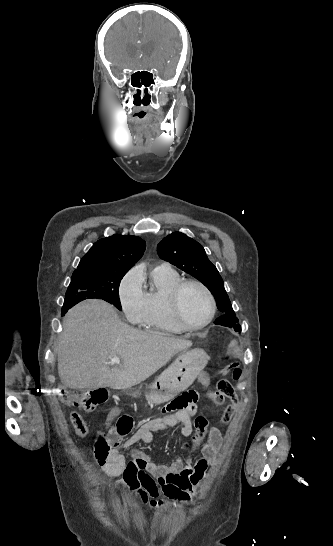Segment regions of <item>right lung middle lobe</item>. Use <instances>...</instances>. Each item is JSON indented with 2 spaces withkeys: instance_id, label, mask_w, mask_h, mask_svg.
Returning a JSON list of instances; mask_svg holds the SVG:
<instances>
[{
  "instance_id": "obj_1",
  "label": "right lung middle lobe",
  "mask_w": 333,
  "mask_h": 546,
  "mask_svg": "<svg viewBox=\"0 0 333 546\" xmlns=\"http://www.w3.org/2000/svg\"><path fill=\"white\" fill-rule=\"evenodd\" d=\"M127 272L128 270L97 266L82 274L73 275L65 295L62 311L90 298L105 300L122 310L118 290L120 281Z\"/></svg>"
}]
</instances>
